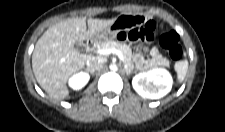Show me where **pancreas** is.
<instances>
[{"mask_svg":"<svg viewBox=\"0 0 225 132\" xmlns=\"http://www.w3.org/2000/svg\"><path fill=\"white\" fill-rule=\"evenodd\" d=\"M97 48L98 49L112 48V49L120 50L124 57L125 66L131 70L134 68V65L132 62V50H131L130 46L126 45L125 43H119L116 41H103L100 44H98ZM160 65L169 67V61L167 59H164V60H162Z\"/></svg>","mask_w":225,"mask_h":132,"instance_id":"pancreas-1","label":"pancreas"}]
</instances>
